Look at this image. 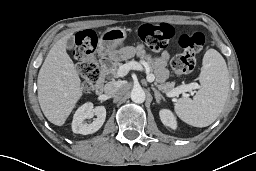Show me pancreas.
I'll return each instance as SVG.
<instances>
[{"instance_id": "obj_1", "label": "pancreas", "mask_w": 256, "mask_h": 171, "mask_svg": "<svg viewBox=\"0 0 256 171\" xmlns=\"http://www.w3.org/2000/svg\"><path fill=\"white\" fill-rule=\"evenodd\" d=\"M140 59L143 61H146L149 71L154 74L156 78V83L158 84V87L161 91L168 94L169 92L173 91L174 89V83L173 82H166V79L168 78V70L165 68L157 67L154 64L153 58L149 54L142 53L140 54ZM128 63V62H127ZM123 65L119 62L112 63L111 67L106 70V74L111 75L113 78H118V69L119 67Z\"/></svg>"}]
</instances>
